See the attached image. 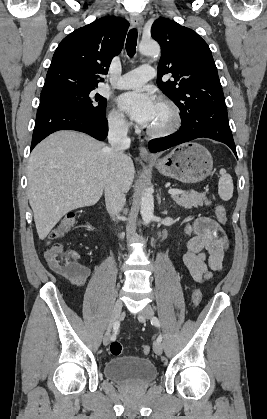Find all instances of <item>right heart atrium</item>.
I'll return each instance as SVG.
<instances>
[{
	"mask_svg": "<svg viewBox=\"0 0 267 419\" xmlns=\"http://www.w3.org/2000/svg\"><path fill=\"white\" fill-rule=\"evenodd\" d=\"M107 120L110 129L114 132L125 133L129 129V122L127 121V119L121 112L115 109H112L109 112Z\"/></svg>",
	"mask_w": 267,
	"mask_h": 419,
	"instance_id": "obj_1",
	"label": "right heart atrium"
}]
</instances>
